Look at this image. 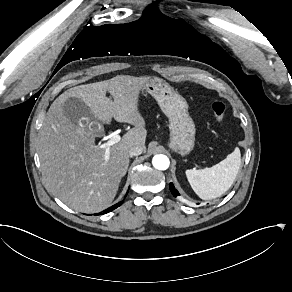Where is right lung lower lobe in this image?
<instances>
[{"instance_id":"1","label":"right lung lower lobe","mask_w":292,"mask_h":292,"mask_svg":"<svg viewBox=\"0 0 292 292\" xmlns=\"http://www.w3.org/2000/svg\"><path fill=\"white\" fill-rule=\"evenodd\" d=\"M121 204H122V202H119V203H117V204L109 207L107 210H105V213H108V212L113 211L114 209H116L117 207H119Z\"/></svg>"}]
</instances>
